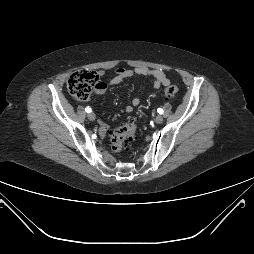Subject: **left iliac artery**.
<instances>
[{"label":"left iliac artery","mask_w":254,"mask_h":254,"mask_svg":"<svg viewBox=\"0 0 254 254\" xmlns=\"http://www.w3.org/2000/svg\"><path fill=\"white\" fill-rule=\"evenodd\" d=\"M157 112H158L159 114H162V113H163V109L159 108V109H157Z\"/></svg>","instance_id":"obj_1"}]
</instances>
